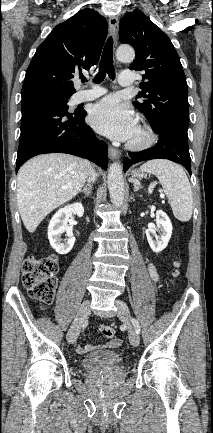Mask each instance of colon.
Masks as SVG:
<instances>
[{"label":"colon","instance_id":"colon-1","mask_svg":"<svg viewBox=\"0 0 213 433\" xmlns=\"http://www.w3.org/2000/svg\"><path fill=\"white\" fill-rule=\"evenodd\" d=\"M179 266L177 262L173 271L174 276L179 275ZM58 269V258L55 255L26 258L22 264V283L29 296L43 305L50 304L57 287ZM100 331L106 338L111 339L115 336V329L110 325H101Z\"/></svg>","mask_w":213,"mask_h":433}]
</instances>
